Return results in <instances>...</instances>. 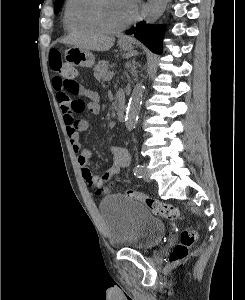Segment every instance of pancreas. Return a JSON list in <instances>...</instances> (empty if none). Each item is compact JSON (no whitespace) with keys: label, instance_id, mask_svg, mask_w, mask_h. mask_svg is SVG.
Segmentation results:
<instances>
[{"label":"pancreas","instance_id":"1","mask_svg":"<svg viewBox=\"0 0 245 300\" xmlns=\"http://www.w3.org/2000/svg\"><path fill=\"white\" fill-rule=\"evenodd\" d=\"M109 64L107 61H100L94 68V77L99 80H108Z\"/></svg>","mask_w":245,"mask_h":300}]
</instances>
